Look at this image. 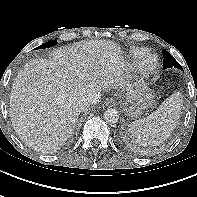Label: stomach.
Segmentation results:
<instances>
[{
	"label": "stomach",
	"instance_id": "obj_1",
	"mask_svg": "<svg viewBox=\"0 0 197 197\" xmlns=\"http://www.w3.org/2000/svg\"><path fill=\"white\" fill-rule=\"evenodd\" d=\"M154 104L153 92L148 89H140L128 96L124 111L126 116L135 119L140 117L144 111Z\"/></svg>",
	"mask_w": 197,
	"mask_h": 197
}]
</instances>
